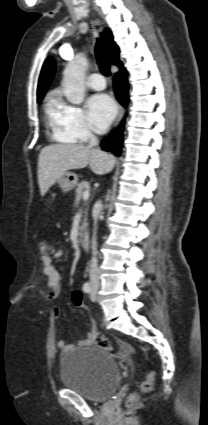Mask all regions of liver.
I'll use <instances>...</instances> for the list:
<instances>
[{"mask_svg": "<svg viewBox=\"0 0 208 425\" xmlns=\"http://www.w3.org/2000/svg\"><path fill=\"white\" fill-rule=\"evenodd\" d=\"M113 155L82 145L52 144L44 147L38 158V184L41 196L61 175L72 169L90 166L97 175L110 172L115 166Z\"/></svg>", "mask_w": 208, "mask_h": 425, "instance_id": "obj_1", "label": "liver"}]
</instances>
